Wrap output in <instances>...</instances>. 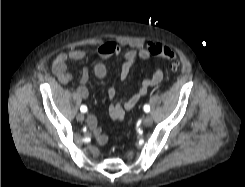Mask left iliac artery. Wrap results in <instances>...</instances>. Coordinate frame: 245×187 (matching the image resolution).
Here are the masks:
<instances>
[{
    "instance_id": "left-iliac-artery-1",
    "label": "left iliac artery",
    "mask_w": 245,
    "mask_h": 187,
    "mask_svg": "<svg viewBox=\"0 0 245 187\" xmlns=\"http://www.w3.org/2000/svg\"><path fill=\"white\" fill-rule=\"evenodd\" d=\"M144 111L149 112L150 111V106L149 105H144Z\"/></svg>"
}]
</instances>
